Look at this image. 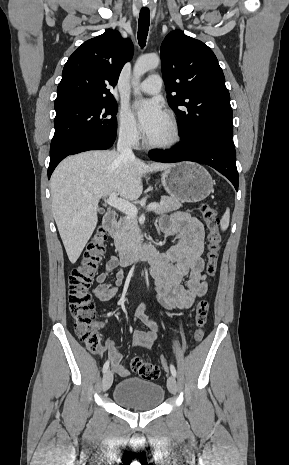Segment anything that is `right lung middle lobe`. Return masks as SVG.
Wrapping results in <instances>:
<instances>
[{"label":"right lung middle lobe","instance_id":"right-lung-middle-lobe-1","mask_svg":"<svg viewBox=\"0 0 289 465\" xmlns=\"http://www.w3.org/2000/svg\"><path fill=\"white\" fill-rule=\"evenodd\" d=\"M117 103L114 99L73 101L55 105V133L50 157L87 138L115 136Z\"/></svg>","mask_w":289,"mask_h":465}]
</instances>
